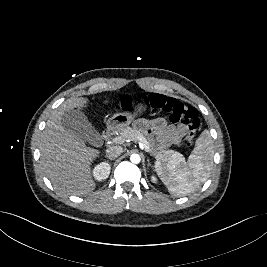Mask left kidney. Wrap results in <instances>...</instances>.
Returning <instances> with one entry per match:
<instances>
[{
    "label": "left kidney",
    "mask_w": 267,
    "mask_h": 267,
    "mask_svg": "<svg viewBox=\"0 0 267 267\" xmlns=\"http://www.w3.org/2000/svg\"><path fill=\"white\" fill-rule=\"evenodd\" d=\"M151 181L154 182V183H157L158 180L154 175H152L151 176Z\"/></svg>",
    "instance_id": "1"
}]
</instances>
